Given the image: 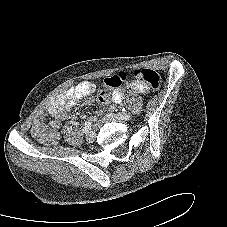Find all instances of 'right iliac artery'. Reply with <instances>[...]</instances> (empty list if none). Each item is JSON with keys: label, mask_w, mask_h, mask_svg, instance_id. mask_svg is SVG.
I'll list each match as a JSON object with an SVG mask.
<instances>
[{"label": "right iliac artery", "mask_w": 227, "mask_h": 227, "mask_svg": "<svg viewBox=\"0 0 227 227\" xmlns=\"http://www.w3.org/2000/svg\"><path fill=\"white\" fill-rule=\"evenodd\" d=\"M91 126H92V120L90 119V120H88L84 123L83 128H82V132L85 133V134L88 133L89 130L91 129Z\"/></svg>", "instance_id": "82829eb1"}]
</instances>
